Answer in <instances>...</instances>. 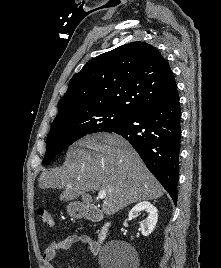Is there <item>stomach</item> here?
Wrapping results in <instances>:
<instances>
[{"instance_id":"1","label":"stomach","mask_w":221,"mask_h":268,"mask_svg":"<svg viewBox=\"0 0 221 268\" xmlns=\"http://www.w3.org/2000/svg\"><path fill=\"white\" fill-rule=\"evenodd\" d=\"M67 212L70 216L74 218H80L84 216L85 209L83 207L78 206L75 203H71L67 206Z\"/></svg>"}]
</instances>
